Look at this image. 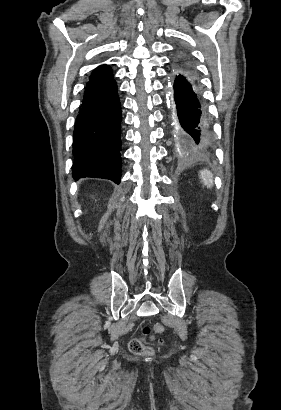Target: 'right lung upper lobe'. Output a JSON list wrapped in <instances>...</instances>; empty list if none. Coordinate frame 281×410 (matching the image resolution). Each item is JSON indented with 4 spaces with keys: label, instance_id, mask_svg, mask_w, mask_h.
<instances>
[{
    "label": "right lung upper lobe",
    "instance_id": "obj_1",
    "mask_svg": "<svg viewBox=\"0 0 281 410\" xmlns=\"http://www.w3.org/2000/svg\"><path fill=\"white\" fill-rule=\"evenodd\" d=\"M113 80L111 68L108 65H101L92 72L85 92L100 88Z\"/></svg>",
    "mask_w": 281,
    "mask_h": 410
}]
</instances>
